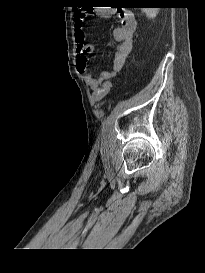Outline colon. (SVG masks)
Masks as SVG:
<instances>
[{
    "label": "colon",
    "mask_w": 205,
    "mask_h": 273,
    "mask_svg": "<svg viewBox=\"0 0 205 273\" xmlns=\"http://www.w3.org/2000/svg\"><path fill=\"white\" fill-rule=\"evenodd\" d=\"M111 88V83L110 82H105L102 87L95 93V98L97 100L102 99L110 90Z\"/></svg>",
    "instance_id": "5ec220e1"
}]
</instances>
